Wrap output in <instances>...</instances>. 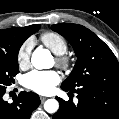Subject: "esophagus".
<instances>
[{
	"label": "esophagus",
	"instance_id": "esophagus-1",
	"mask_svg": "<svg viewBox=\"0 0 119 119\" xmlns=\"http://www.w3.org/2000/svg\"><path fill=\"white\" fill-rule=\"evenodd\" d=\"M40 99H41L42 102H44L47 98L44 97V96H41Z\"/></svg>",
	"mask_w": 119,
	"mask_h": 119
}]
</instances>
